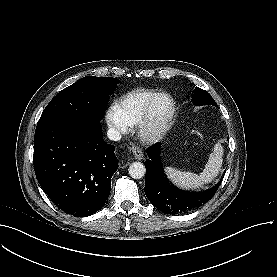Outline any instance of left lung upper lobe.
I'll list each match as a JSON object with an SVG mask.
<instances>
[{
	"mask_svg": "<svg viewBox=\"0 0 277 277\" xmlns=\"http://www.w3.org/2000/svg\"><path fill=\"white\" fill-rule=\"evenodd\" d=\"M192 101L195 105H212L218 107L212 96L207 91L199 87L194 89Z\"/></svg>",
	"mask_w": 277,
	"mask_h": 277,
	"instance_id": "obj_1",
	"label": "left lung upper lobe"
}]
</instances>
